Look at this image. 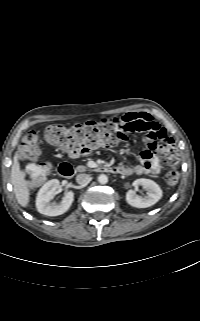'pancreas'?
<instances>
[{"label": "pancreas", "instance_id": "1", "mask_svg": "<svg viewBox=\"0 0 200 321\" xmlns=\"http://www.w3.org/2000/svg\"><path fill=\"white\" fill-rule=\"evenodd\" d=\"M86 167L85 166H78V167H76V170L78 171V172H84V171H86Z\"/></svg>", "mask_w": 200, "mask_h": 321}]
</instances>
